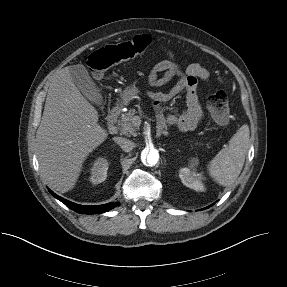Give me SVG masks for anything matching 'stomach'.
Listing matches in <instances>:
<instances>
[{
    "instance_id": "1",
    "label": "stomach",
    "mask_w": 287,
    "mask_h": 287,
    "mask_svg": "<svg viewBox=\"0 0 287 287\" xmlns=\"http://www.w3.org/2000/svg\"><path fill=\"white\" fill-rule=\"evenodd\" d=\"M136 93H137L136 88H133V87L126 88L124 92L122 93V99L124 103H128L134 97Z\"/></svg>"
}]
</instances>
